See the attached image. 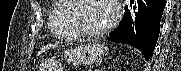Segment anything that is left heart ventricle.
<instances>
[{"label": "left heart ventricle", "instance_id": "1", "mask_svg": "<svg viewBox=\"0 0 181 71\" xmlns=\"http://www.w3.org/2000/svg\"><path fill=\"white\" fill-rule=\"evenodd\" d=\"M108 10V1L86 0L81 2L79 16L86 28L98 30L108 24Z\"/></svg>", "mask_w": 181, "mask_h": 71}]
</instances>
